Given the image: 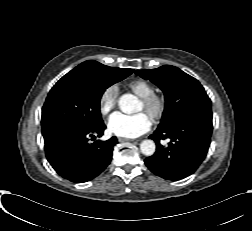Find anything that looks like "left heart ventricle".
<instances>
[{
    "instance_id": "b2bd125f",
    "label": "left heart ventricle",
    "mask_w": 252,
    "mask_h": 231,
    "mask_svg": "<svg viewBox=\"0 0 252 231\" xmlns=\"http://www.w3.org/2000/svg\"><path fill=\"white\" fill-rule=\"evenodd\" d=\"M143 109H144V106H143V104H141L140 110H143Z\"/></svg>"
}]
</instances>
